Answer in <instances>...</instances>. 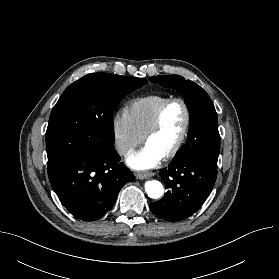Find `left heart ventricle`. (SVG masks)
I'll return each mask as SVG.
<instances>
[{
  "label": "left heart ventricle",
  "instance_id": "b2bd125f",
  "mask_svg": "<svg viewBox=\"0 0 279 279\" xmlns=\"http://www.w3.org/2000/svg\"><path fill=\"white\" fill-rule=\"evenodd\" d=\"M184 122L183 106L178 102L171 104L164 112L160 128L148 139L147 145L164 156L178 141Z\"/></svg>",
  "mask_w": 279,
  "mask_h": 279
}]
</instances>
